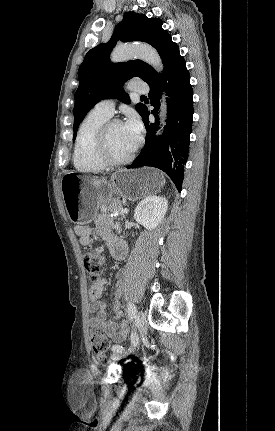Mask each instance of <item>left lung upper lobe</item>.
I'll return each mask as SVG.
<instances>
[{
    "label": "left lung upper lobe",
    "instance_id": "left-lung-upper-lobe-1",
    "mask_svg": "<svg viewBox=\"0 0 275 431\" xmlns=\"http://www.w3.org/2000/svg\"><path fill=\"white\" fill-rule=\"evenodd\" d=\"M117 40L123 42L143 41L158 51L165 65L170 51L177 45L170 34L162 29V21L147 18L143 14L125 13L123 20L115 28L114 34L106 44H100L89 50L78 70L79 87L75 93L74 136L79 124L87 112L99 101L107 98H118L129 103L128 94L123 91V84L132 77H140L149 82L157 76L156 71L141 60L127 63L109 62V54ZM145 105L139 103L136 110L143 114Z\"/></svg>",
    "mask_w": 275,
    "mask_h": 431
}]
</instances>
